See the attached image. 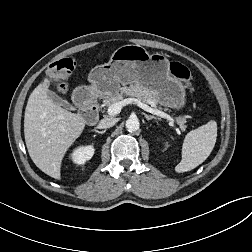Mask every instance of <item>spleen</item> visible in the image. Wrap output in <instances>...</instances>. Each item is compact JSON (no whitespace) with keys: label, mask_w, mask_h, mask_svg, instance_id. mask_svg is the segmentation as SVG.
Wrapping results in <instances>:
<instances>
[{"label":"spleen","mask_w":252,"mask_h":252,"mask_svg":"<svg viewBox=\"0 0 252 252\" xmlns=\"http://www.w3.org/2000/svg\"><path fill=\"white\" fill-rule=\"evenodd\" d=\"M217 138V123L214 120L190 131L183 141L182 159L175 171H190L203 163L211 154Z\"/></svg>","instance_id":"spleen-1"}]
</instances>
